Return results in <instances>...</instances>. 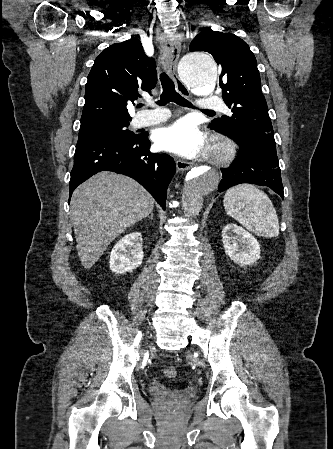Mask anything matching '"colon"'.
I'll list each match as a JSON object with an SVG mask.
<instances>
[{
  "label": "colon",
  "instance_id": "1",
  "mask_svg": "<svg viewBox=\"0 0 333 449\" xmlns=\"http://www.w3.org/2000/svg\"><path fill=\"white\" fill-rule=\"evenodd\" d=\"M164 374L167 378H175L177 375V369L172 365L166 366L164 369Z\"/></svg>",
  "mask_w": 333,
  "mask_h": 449
}]
</instances>
